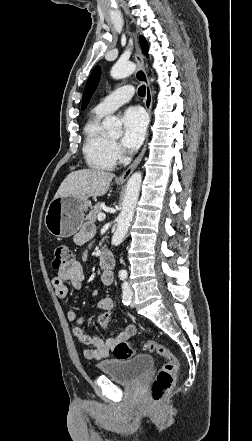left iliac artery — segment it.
<instances>
[{"label": "left iliac artery", "mask_w": 252, "mask_h": 441, "mask_svg": "<svg viewBox=\"0 0 252 441\" xmlns=\"http://www.w3.org/2000/svg\"><path fill=\"white\" fill-rule=\"evenodd\" d=\"M120 276H121V278H122V279H125V278H127V274H126V273H121V275H120Z\"/></svg>", "instance_id": "obj_1"}]
</instances>
